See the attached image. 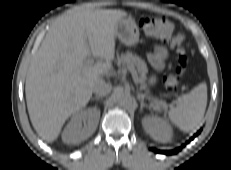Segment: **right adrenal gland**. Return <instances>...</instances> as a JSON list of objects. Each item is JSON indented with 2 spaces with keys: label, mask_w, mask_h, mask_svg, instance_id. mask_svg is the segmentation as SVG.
Listing matches in <instances>:
<instances>
[{
  "label": "right adrenal gland",
  "mask_w": 231,
  "mask_h": 170,
  "mask_svg": "<svg viewBox=\"0 0 231 170\" xmlns=\"http://www.w3.org/2000/svg\"><path fill=\"white\" fill-rule=\"evenodd\" d=\"M103 97H100V96H96L95 98H92V100H102Z\"/></svg>",
  "instance_id": "right-adrenal-gland-1"
}]
</instances>
